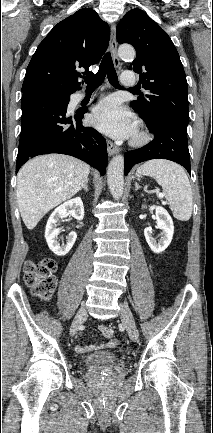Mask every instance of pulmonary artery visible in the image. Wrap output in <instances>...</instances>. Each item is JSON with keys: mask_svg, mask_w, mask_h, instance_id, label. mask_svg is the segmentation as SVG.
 <instances>
[{"mask_svg": "<svg viewBox=\"0 0 213 433\" xmlns=\"http://www.w3.org/2000/svg\"><path fill=\"white\" fill-rule=\"evenodd\" d=\"M121 83L123 86H134L136 83V78L133 72L125 71L121 75ZM85 97V94L79 93L76 96L78 101L82 100Z\"/></svg>", "mask_w": 213, "mask_h": 433, "instance_id": "obj_1", "label": "pulmonary artery"}]
</instances>
